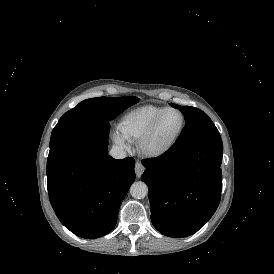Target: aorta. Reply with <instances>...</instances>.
Here are the masks:
<instances>
[{"mask_svg":"<svg viewBox=\"0 0 274 274\" xmlns=\"http://www.w3.org/2000/svg\"><path fill=\"white\" fill-rule=\"evenodd\" d=\"M130 194L134 198L142 199L147 196L148 187L142 181L134 182L130 187Z\"/></svg>","mask_w":274,"mask_h":274,"instance_id":"762f6f07","label":"aorta"}]
</instances>
